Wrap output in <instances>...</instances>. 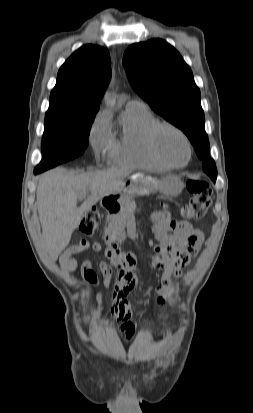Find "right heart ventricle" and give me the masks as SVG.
Listing matches in <instances>:
<instances>
[{
    "label": "right heart ventricle",
    "instance_id": "right-heart-ventricle-1",
    "mask_svg": "<svg viewBox=\"0 0 253 413\" xmlns=\"http://www.w3.org/2000/svg\"><path fill=\"white\" fill-rule=\"evenodd\" d=\"M156 122L157 119L146 107L127 106L119 118V131L112 136L109 160L113 164L132 168H166L154 159L147 146V131Z\"/></svg>",
    "mask_w": 253,
    "mask_h": 413
}]
</instances>
